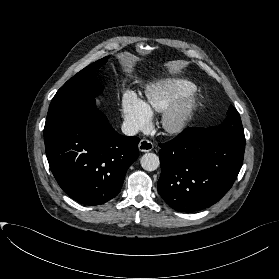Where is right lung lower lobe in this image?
<instances>
[{"label": "right lung lower lobe", "mask_w": 279, "mask_h": 279, "mask_svg": "<svg viewBox=\"0 0 279 279\" xmlns=\"http://www.w3.org/2000/svg\"><path fill=\"white\" fill-rule=\"evenodd\" d=\"M46 156L59 186L84 205H101L120 192L125 174L138 158V137L122 136L84 101L45 126Z\"/></svg>", "instance_id": "1"}]
</instances>
